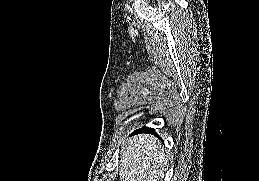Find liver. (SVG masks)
<instances>
[{
    "label": "liver",
    "mask_w": 259,
    "mask_h": 181,
    "mask_svg": "<svg viewBox=\"0 0 259 181\" xmlns=\"http://www.w3.org/2000/svg\"><path fill=\"white\" fill-rule=\"evenodd\" d=\"M167 161L168 156L157 138L148 134L134 136L121 152L120 181H157Z\"/></svg>",
    "instance_id": "1"
}]
</instances>
